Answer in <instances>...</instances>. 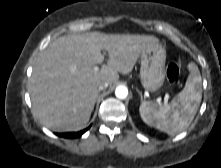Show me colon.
Segmentation results:
<instances>
[{
  "label": "colon",
  "instance_id": "5ec220e1",
  "mask_svg": "<svg viewBox=\"0 0 221 168\" xmlns=\"http://www.w3.org/2000/svg\"><path fill=\"white\" fill-rule=\"evenodd\" d=\"M180 76V69L177 64L169 63L166 66V77L170 83H175Z\"/></svg>",
  "mask_w": 221,
  "mask_h": 168
}]
</instances>
